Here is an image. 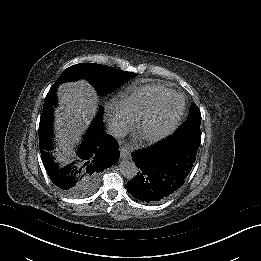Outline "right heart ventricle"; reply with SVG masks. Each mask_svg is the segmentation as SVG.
I'll return each mask as SVG.
<instances>
[{
	"label": "right heart ventricle",
	"mask_w": 261,
	"mask_h": 261,
	"mask_svg": "<svg viewBox=\"0 0 261 261\" xmlns=\"http://www.w3.org/2000/svg\"><path fill=\"white\" fill-rule=\"evenodd\" d=\"M174 90L162 84H147L127 92L119 101L121 109L130 116L141 118L156 110Z\"/></svg>",
	"instance_id": "e07e8e85"
}]
</instances>
